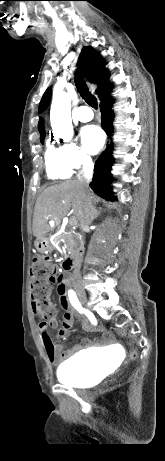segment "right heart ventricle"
I'll return each instance as SVG.
<instances>
[{"instance_id":"right-heart-ventricle-1","label":"right heart ventricle","mask_w":165,"mask_h":461,"mask_svg":"<svg viewBox=\"0 0 165 461\" xmlns=\"http://www.w3.org/2000/svg\"><path fill=\"white\" fill-rule=\"evenodd\" d=\"M45 168L50 179H66L71 175V169L64 162L60 148L47 143L45 151Z\"/></svg>"}]
</instances>
